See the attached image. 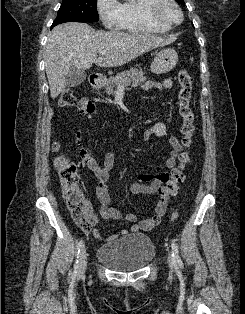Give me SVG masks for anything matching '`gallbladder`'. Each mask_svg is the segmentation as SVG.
<instances>
[{"instance_id": "bac80fb5", "label": "gallbladder", "mask_w": 245, "mask_h": 314, "mask_svg": "<svg viewBox=\"0 0 245 314\" xmlns=\"http://www.w3.org/2000/svg\"><path fill=\"white\" fill-rule=\"evenodd\" d=\"M86 72L83 69L72 67L66 75L67 87H75L80 85L86 79Z\"/></svg>"}]
</instances>
